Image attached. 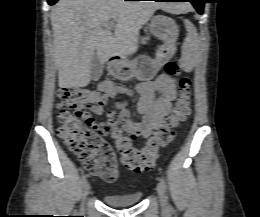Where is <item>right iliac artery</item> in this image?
Masks as SVG:
<instances>
[{"label": "right iliac artery", "mask_w": 260, "mask_h": 217, "mask_svg": "<svg viewBox=\"0 0 260 217\" xmlns=\"http://www.w3.org/2000/svg\"><path fill=\"white\" fill-rule=\"evenodd\" d=\"M81 185L83 186L86 183V176L83 175L80 181Z\"/></svg>", "instance_id": "right-iliac-artery-1"}]
</instances>
